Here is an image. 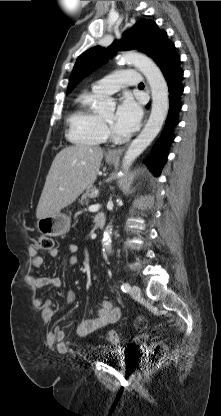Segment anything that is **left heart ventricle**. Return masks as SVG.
<instances>
[{
  "instance_id": "b2bd125f",
  "label": "left heart ventricle",
  "mask_w": 221,
  "mask_h": 416,
  "mask_svg": "<svg viewBox=\"0 0 221 416\" xmlns=\"http://www.w3.org/2000/svg\"><path fill=\"white\" fill-rule=\"evenodd\" d=\"M103 119H104L105 121H107L108 123H110V124H111V126H112V129L114 130V127H113L114 114H113V112H110V113H108V114L104 115V116H103ZM114 132H115V133H117L115 130H114ZM117 134H118V133H117Z\"/></svg>"
}]
</instances>
